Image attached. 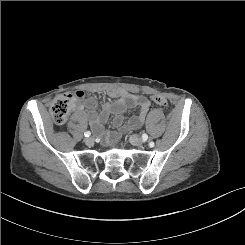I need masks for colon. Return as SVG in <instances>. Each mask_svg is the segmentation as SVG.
Instances as JSON below:
<instances>
[{"label": "colon", "instance_id": "5ec220e1", "mask_svg": "<svg viewBox=\"0 0 245 245\" xmlns=\"http://www.w3.org/2000/svg\"><path fill=\"white\" fill-rule=\"evenodd\" d=\"M84 96V92H76L74 94H63L55 98L50 107L54 122L58 125L65 123L72 109ZM152 100L155 104L163 108H168L169 106L167 98L163 95H153Z\"/></svg>", "mask_w": 245, "mask_h": 245}]
</instances>
